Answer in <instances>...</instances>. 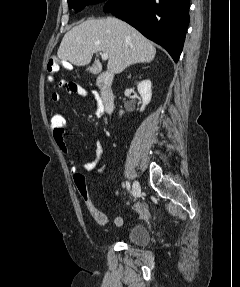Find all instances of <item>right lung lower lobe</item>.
<instances>
[{"label": "right lung lower lobe", "mask_w": 240, "mask_h": 287, "mask_svg": "<svg viewBox=\"0 0 240 287\" xmlns=\"http://www.w3.org/2000/svg\"><path fill=\"white\" fill-rule=\"evenodd\" d=\"M189 7L190 0H109L103 11L135 27L177 62L189 23Z\"/></svg>", "instance_id": "obj_1"}]
</instances>
